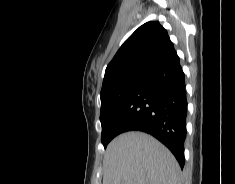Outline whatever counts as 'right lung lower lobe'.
Masks as SVG:
<instances>
[{
  "instance_id": "1",
  "label": "right lung lower lobe",
  "mask_w": 235,
  "mask_h": 184,
  "mask_svg": "<svg viewBox=\"0 0 235 184\" xmlns=\"http://www.w3.org/2000/svg\"><path fill=\"white\" fill-rule=\"evenodd\" d=\"M187 100L185 78L175 52L151 70L130 93L111 131H143L162 142L181 168L185 163Z\"/></svg>"
}]
</instances>
